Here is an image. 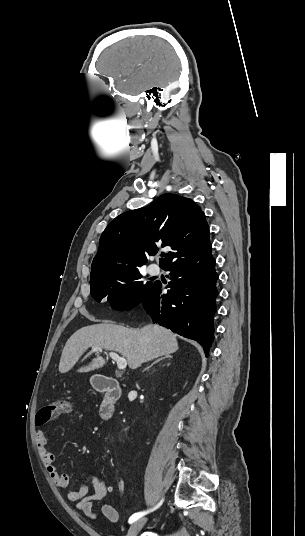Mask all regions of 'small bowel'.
<instances>
[{"mask_svg":"<svg viewBox=\"0 0 305 536\" xmlns=\"http://www.w3.org/2000/svg\"><path fill=\"white\" fill-rule=\"evenodd\" d=\"M35 441L38 448V452L42 459V462L57 487L68 490L69 476L66 473L60 472L55 464L56 457L49 451L47 447V438L44 435H39L35 431ZM94 484V493L89 495V487L87 483H83L77 490L67 491V498L76 503L77 508L89 517H95L94 507L98 506L102 514L110 521L117 522L119 519V513L115 507L104 502V498L108 490L112 487H108L106 483L97 478L92 477Z\"/></svg>","mask_w":305,"mask_h":536,"instance_id":"small-bowel-1","label":"small bowel"}]
</instances>
